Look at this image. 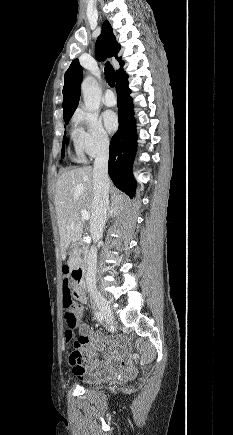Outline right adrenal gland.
I'll use <instances>...</instances> for the list:
<instances>
[{
    "label": "right adrenal gland",
    "instance_id": "2a0ac1e0",
    "mask_svg": "<svg viewBox=\"0 0 233 435\" xmlns=\"http://www.w3.org/2000/svg\"><path fill=\"white\" fill-rule=\"evenodd\" d=\"M119 214V210L117 208H114L113 206H110L109 208V212H108V216H107V221L109 220V218H115L117 217Z\"/></svg>",
    "mask_w": 233,
    "mask_h": 435
}]
</instances>
